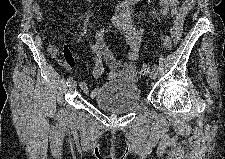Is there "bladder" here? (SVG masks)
<instances>
[{"label":"bladder","instance_id":"1","mask_svg":"<svg viewBox=\"0 0 225 159\" xmlns=\"http://www.w3.org/2000/svg\"><path fill=\"white\" fill-rule=\"evenodd\" d=\"M141 91L133 81L118 80L107 82L98 88L93 103L108 112L124 114L140 105Z\"/></svg>","mask_w":225,"mask_h":159}]
</instances>
